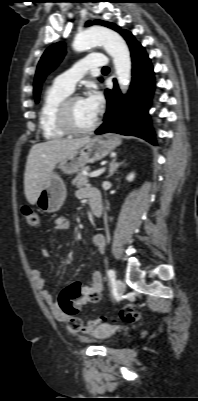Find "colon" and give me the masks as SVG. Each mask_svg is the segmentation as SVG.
<instances>
[{"instance_id": "obj_1", "label": "colon", "mask_w": 198, "mask_h": 401, "mask_svg": "<svg viewBox=\"0 0 198 401\" xmlns=\"http://www.w3.org/2000/svg\"><path fill=\"white\" fill-rule=\"evenodd\" d=\"M22 212L25 219V223L28 227L39 226V215L35 210H33L30 207H24ZM75 288H76V283H72L70 286L65 288L60 294L59 306L67 314H75L78 311L77 306L71 302L75 296L76 292ZM119 316L124 323H133L138 320L140 314L132 305H126L120 309ZM103 321L104 318H98L96 321L93 322L101 323ZM88 322L91 321H85L82 319L78 320V324L80 326H83Z\"/></svg>"}]
</instances>
